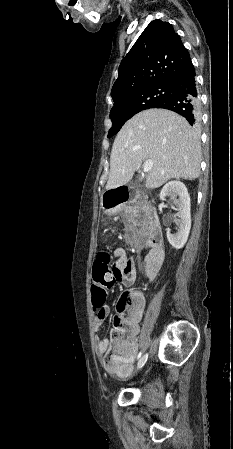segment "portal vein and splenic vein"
<instances>
[{"label": "portal vein and splenic vein", "instance_id": "18ae733b", "mask_svg": "<svg viewBox=\"0 0 233 449\" xmlns=\"http://www.w3.org/2000/svg\"><path fill=\"white\" fill-rule=\"evenodd\" d=\"M152 167H153V162L152 161H146L143 164L142 169H143L144 172H148V171H150L152 169Z\"/></svg>", "mask_w": 233, "mask_h": 449}]
</instances>
